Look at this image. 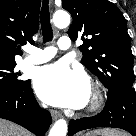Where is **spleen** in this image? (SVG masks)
I'll list each match as a JSON object with an SVG mask.
<instances>
[{
  "instance_id": "spleen-1",
  "label": "spleen",
  "mask_w": 136,
  "mask_h": 136,
  "mask_svg": "<svg viewBox=\"0 0 136 136\" xmlns=\"http://www.w3.org/2000/svg\"><path fill=\"white\" fill-rule=\"evenodd\" d=\"M94 133L100 136H125L122 132L113 129H100L96 130ZM87 136H94V134H87Z\"/></svg>"
}]
</instances>
